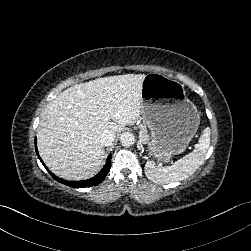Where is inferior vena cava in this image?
I'll use <instances>...</instances> for the list:
<instances>
[{
  "label": "inferior vena cava",
  "instance_id": "obj_1",
  "mask_svg": "<svg viewBox=\"0 0 251 251\" xmlns=\"http://www.w3.org/2000/svg\"><path fill=\"white\" fill-rule=\"evenodd\" d=\"M115 140V133L111 130H105L101 134V143L104 147H109Z\"/></svg>",
  "mask_w": 251,
  "mask_h": 251
}]
</instances>
